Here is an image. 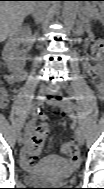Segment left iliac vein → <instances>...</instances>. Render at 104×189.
<instances>
[{"label":"left iliac vein","instance_id":"4c4485c4","mask_svg":"<svg viewBox=\"0 0 104 189\" xmlns=\"http://www.w3.org/2000/svg\"><path fill=\"white\" fill-rule=\"evenodd\" d=\"M50 104L60 108L62 111L67 113V115L70 118L74 117V114L72 112L71 107H69L64 101H60V100L54 99V100L50 101ZM75 139H76V141L78 142L79 145H83L84 144V136H83V134H82V132H81V130L79 128H76Z\"/></svg>","mask_w":104,"mask_h":189}]
</instances>
